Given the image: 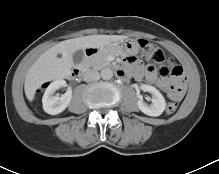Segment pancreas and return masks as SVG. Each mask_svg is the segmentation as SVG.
Wrapping results in <instances>:
<instances>
[{"label": "pancreas", "mask_w": 219, "mask_h": 174, "mask_svg": "<svg viewBox=\"0 0 219 174\" xmlns=\"http://www.w3.org/2000/svg\"><path fill=\"white\" fill-rule=\"evenodd\" d=\"M116 51H105L99 52L98 54L87 59L84 63L86 67H92L93 69L100 70L103 67L110 65V62L107 60V56L114 54Z\"/></svg>", "instance_id": "pancreas-1"}]
</instances>
